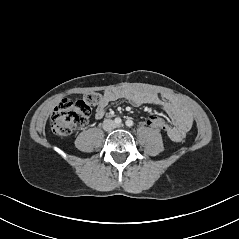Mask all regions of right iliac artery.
Listing matches in <instances>:
<instances>
[{
    "instance_id": "82829eb1",
    "label": "right iliac artery",
    "mask_w": 239,
    "mask_h": 239,
    "mask_svg": "<svg viewBox=\"0 0 239 239\" xmlns=\"http://www.w3.org/2000/svg\"><path fill=\"white\" fill-rule=\"evenodd\" d=\"M115 123L118 125L121 124L122 123L121 118H119V117L115 118Z\"/></svg>"
}]
</instances>
